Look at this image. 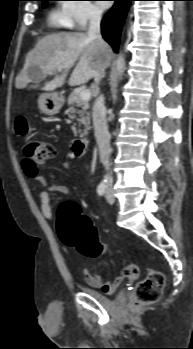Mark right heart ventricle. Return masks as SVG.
<instances>
[{
  "mask_svg": "<svg viewBox=\"0 0 193 349\" xmlns=\"http://www.w3.org/2000/svg\"><path fill=\"white\" fill-rule=\"evenodd\" d=\"M49 22L52 26L57 28H67L71 26L62 7L51 11Z\"/></svg>",
  "mask_w": 193,
  "mask_h": 349,
  "instance_id": "e07e8e85",
  "label": "right heart ventricle"
}]
</instances>
